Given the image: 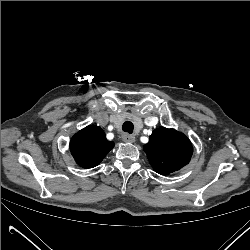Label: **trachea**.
Returning a JSON list of instances; mask_svg holds the SVG:
<instances>
[{
  "label": "trachea",
  "mask_w": 250,
  "mask_h": 250,
  "mask_svg": "<svg viewBox=\"0 0 250 250\" xmlns=\"http://www.w3.org/2000/svg\"><path fill=\"white\" fill-rule=\"evenodd\" d=\"M122 129H123V131L128 132V133L131 134L133 132L134 125H133L132 122L126 121V122L123 123Z\"/></svg>",
  "instance_id": "3493384b"
}]
</instances>
